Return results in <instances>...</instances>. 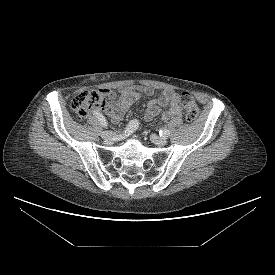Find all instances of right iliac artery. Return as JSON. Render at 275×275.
Segmentation results:
<instances>
[{"instance_id": "obj_1", "label": "right iliac artery", "mask_w": 275, "mask_h": 275, "mask_svg": "<svg viewBox=\"0 0 275 275\" xmlns=\"http://www.w3.org/2000/svg\"><path fill=\"white\" fill-rule=\"evenodd\" d=\"M93 114L96 116V118L98 119V121L100 122V124L104 127L107 128V121L105 119V117L103 116V114L99 111H93ZM139 126V121L134 119L132 121L129 122V124L127 125V127L124 130V134L125 135H130L131 133H133Z\"/></svg>"}]
</instances>
